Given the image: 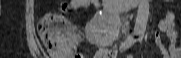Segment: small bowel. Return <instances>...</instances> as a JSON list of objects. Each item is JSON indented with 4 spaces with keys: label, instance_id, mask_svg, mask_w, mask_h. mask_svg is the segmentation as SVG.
<instances>
[{
    "label": "small bowel",
    "instance_id": "small-bowel-1",
    "mask_svg": "<svg viewBox=\"0 0 181 58\" xmlns=\"http://www.w3.org/2000/svg\"><path fill=\"white\" fill-rule=\"evenodd\" d=\"M71 9H79V8H88L93 7L95 9H99L101 3L99 0H71L69 3ZM160 29L170 39L169 50L167 51L164 46L160 44L162 52L170 58H181V46L178 44L177 38V30H176V23L175 18L172 13H169L167 18L160 23ZM153 38L159 42V34L155 32L153 34ZM115 51V47L105 48L100 47L98 52L96 53L95 58H108V55H113Z\"/></svg>",
    "mask_w": 181,
    "mask_h": 58
}]
</instances>
